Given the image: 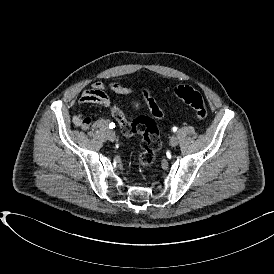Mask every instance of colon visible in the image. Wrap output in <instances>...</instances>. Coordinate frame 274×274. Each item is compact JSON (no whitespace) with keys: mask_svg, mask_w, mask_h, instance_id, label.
Instances as JSON below:
<instances>
[{"mask_svg":"<svg viewBox=\"0 0 274 274\" xmlns=\"http://www.w3.org/2000/svg\"><path fill=\"white\" fill-rule=\"evenodd\" d=\"M174 95L177 99L190 106L199 119L204 120L207 117L208 111L204 99L196 88L190 85H179L176 87ZM147 107L150 114L154 115L153 117L141 115L131 121L127 120L118 105L114 104L111 109L113 118L125 136L131 137L135 134H141L143 137L142 150L135 158L136 166L142 172L149 170L154 164L157 151L161 146L157 124L153 123L152 119H163L165 116L155 99H148Z\"/></svg>","mask_w":274,"mask_h":274,"instance_id":"obj_1","label":"colon"}]
</instances>
